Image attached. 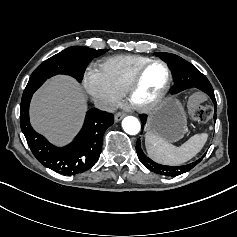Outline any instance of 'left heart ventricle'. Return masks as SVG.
<instances>
[{
	"instance_id": "left-heart-ventricle-1",
	"label": "left heart ventricle",
	"mask_w": 237,
	"mask_h": 237,
	"mask_svg": "<svg viewBox=\"0 0 237 237\" xmlns=\"http://www.w3.org/2000/svg\"><path fill=\"white\" fill-rule=\"evenodd\" d=\"M167 73L160 64L150 66L144 73L140 86L135 94L139 103H145L154 98L165 84Z\"/></svg>"
}]
</instances>
